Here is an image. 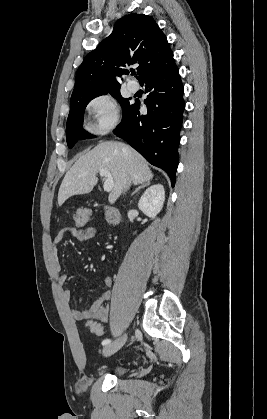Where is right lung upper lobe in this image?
Listing matches in <instances>:
<instances>
[{"mask_svg": "<svg viewBox=\"0 0 267 419\" xmlns=\"http://www.w3.org/2000/svg\"><path fill=\"white\" fill-rule=\"evenodd\" d=\"M173 53L155 20L144 14L120 18L112 33L88 53L76 73L72 100L120 90L119 79L129 65L139 64V82L150 72L173 62Z\"/></svg>", "mask_w": 267, "mask_h": 419, "instance_id": "1", "label": "right lung upper lobe"}]
</instances>
